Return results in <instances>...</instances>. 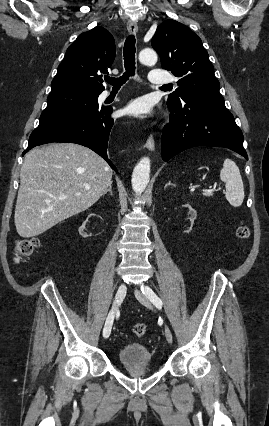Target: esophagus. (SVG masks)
Instances as JSON below:
<instances>
[{"mask_svg":"<svg viewBox=\"0 0 269 426\" xmlns=\"http://www.w3.org/2000/svg\"><path fill=\"white\" fill-rule=\"evenodd\" d=\"M127 30L131 35H135L138 31V27L135 21L129 20L127 23ZM146 148L149 151H153L155 149V142L152 136H149L146 141Z\"/></svg>","mask_w":269,"mask_h":426,"instance_id":"esophagus-1","label":"esophagus"}]
</instances>
